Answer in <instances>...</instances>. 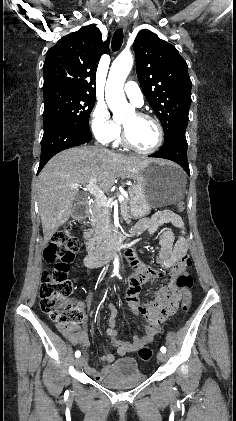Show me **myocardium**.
<instances>
[{
  "label": "myocardium",
  "instance_id": "1",
  "mask_svg": "<svg viewBox=\"0 0 236 421\" xmlns=\"http://www.w3.org/2000/svg\"><path fill=\"white\" fill-rule=\"evenodd\" d=\"M136 114L143 118L146 119L148 121H150L156 128V132H157V139L156 142L154 144L153 147L149 148V149H141L136 147L128 138L127 133L125 128L122 126V142L124 144V146H126L127 148H129L130 150L139 153V154H143V155H150L153 154L155 152H157L160 147L162 146L163 140H164V131H163V127L160 124V122L155 119L154 117H152L151 115H148L146 113L143 112H136Z\"/></svg>",
  "mask_w": 236,
  "mask_h": 421
}]
</instances>
